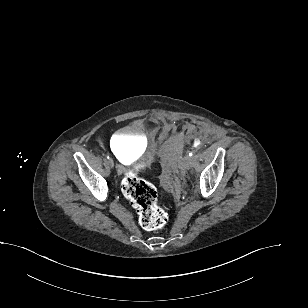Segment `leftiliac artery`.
I'll return each mask as SVG.
<instances>
[{
  "label": "left iliac artery",
  "instance_id": "44dca946",
  "mask_svg": "<svg viewBox=\"0 0 308 308\" xmlns=\"http://www.w3.org/2000/svg\"><path fill=\"white\" fill-rule=\"evenodd\" d=\"M194 154V151L193 152H189V156H193Z\"/></svg>",
  "mask_w": 308,
  "mask_h": 308
}]
</instances>
